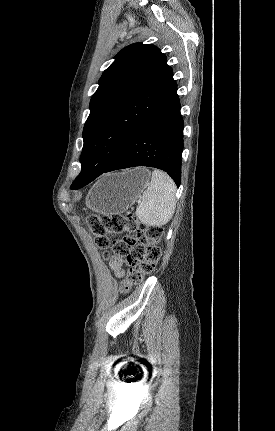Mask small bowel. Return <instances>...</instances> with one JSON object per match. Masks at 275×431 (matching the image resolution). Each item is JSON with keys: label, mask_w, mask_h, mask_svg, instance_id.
I'll return each mask as SVG.
<instances>
[{"label": "small bowel", "mask_w": 275, "mask_h": 431, "mask_svg": "<svg viewBox=\"0 0 275 431\" xmlns=\"http://www.w3.org/2000/svg\"><path fill=\"white\" fill-rule=\"evenodd\" d=\"M111 271L118 277L123 275L124 260L117 255H114L109 262Z\"/></svg>", "instance_id": "obj_1"}]
</instances>
